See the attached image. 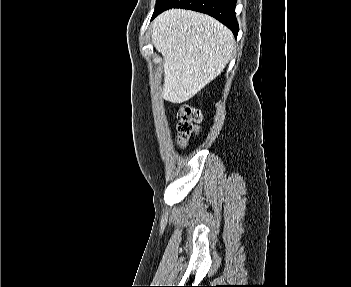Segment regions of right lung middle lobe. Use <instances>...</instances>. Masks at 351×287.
<instances>
[{
  "label": "right lung middle lobe",
  "instance_id": "1",
  "mask_svg": "<svg viewBox=\"0 0 351 287\" xmlns=\"http://www.w3.org/2000/svg\"><path fill=\"white\" fill-rule=\"evenodd\" d=\"M161 0H157V2H156V6L158 5V3L160 2Z\"/></svg>",
  "mask_w": 351,
  "mask_h": 287
}]
</instances>
